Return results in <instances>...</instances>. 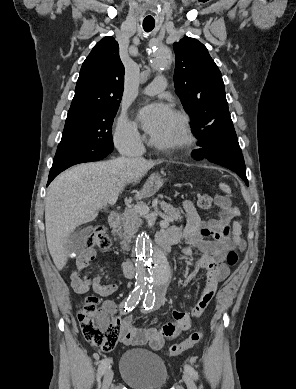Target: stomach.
Masks as SVG:
<instances>
[{"instance_id":"obj_1","label":"stomach","mask_w":296,"mask_h":389,"mask_svg":"<svg viewBox=\"0 0 296 389\" xmlns=\"http://www.w3.org/2000/svg\"><path fill=\"white\" fill-rule=\"evenodd\" d=\"M156 176L158 177H150L146 184L144 185L141 194L143 196H150L152 195L155 191L159 189L161 186V181L159 178L163 176V173L161 171H158L156 173Z\"/></svg>"}]
</instances>
